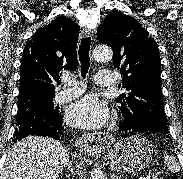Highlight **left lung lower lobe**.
Here are the masks:
<instances>
[{
  "mask_svg": "<svg viewBox=\"0 0 183 179\" xmlns=\"http://www.w3.org/2000/svg\"><path fill=\"white\" fill-rule=\"evenodd\" d=\"M119 130L122 131V133H121L122 138L132 136L135 134H153L156 136H160L162 138H166V139L169 138L168 133H157V132H152V131L145 130L142 128H133L126 121H123L122 123H120Z\"/></svg>",
  "mask_w": 183,
  "mask_h": 179,
  "instance_id": "1",
  "label": "left lung lower lobe"
}]
</instances>
